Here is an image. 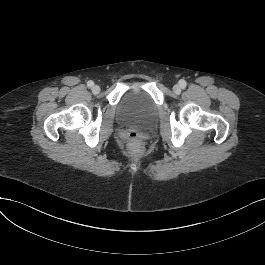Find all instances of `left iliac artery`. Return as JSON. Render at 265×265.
<instances>
[{
	"label": "left iliac artery",
	"mask_w": 265,
	"mask_h": 265,
	"mask_svg": "<svg viewBox=\"0 0 265 265\" xmlns=\"http://www.w3.org/2000/svg\"><path fill=\"white\" fill-rule=\"evenodd\" d=\"M179 84H180V86H181L182 88H185V87H186V81L183 80V79L179 81Z\"/></svg>",
	"instance_id": "44dca946"
}]
</instances>
